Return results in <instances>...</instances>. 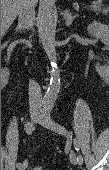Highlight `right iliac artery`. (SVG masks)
<instances>
[{
  "label": "right iliac artery",
  "mask_w": 109,
  "mask_h": 170,
  "mask_svg": "<svg viewBox=\"0 0 109 170\" xmlns=\"http://www.w3.org/2000/svg\"><path fill=\"white\" fill-rule=\"evenodd\" d=\"M25 130H26V133L28 134V135H30L31 133H32V131H33V124L31 123V122H27V124H26V126H25ZM22 165V163H17V168L19 167V166H21Z\"/></svg>",
  "instance_id": "1"
}]
</instances>
